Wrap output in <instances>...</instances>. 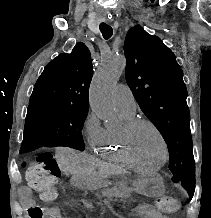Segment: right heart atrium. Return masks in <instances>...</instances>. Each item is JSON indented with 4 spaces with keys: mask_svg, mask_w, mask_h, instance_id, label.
Listing matches in <instances>:
<instances>
[{
    "mask_svg": "<svg viewBox=\"0 0 211 218\" xmlns=\"http://www.w3.org/2000/svg\"><path fill=\"white\" fill-rule=\"evenodd\" d=\"M104 131L97 114L93 111L90 112L83 122V133L87 136L89 144L96 146Z\"/></svg>",
    "mask_w": 211,
    "mask_h": 218,
    "instance_id": "right-heart-atrium-1",
    "label": "right heart atrium"
}]
</instances>
